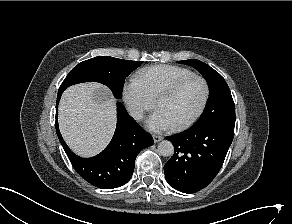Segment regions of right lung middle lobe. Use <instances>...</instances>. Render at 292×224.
Listing matches in <instances>:
<instances>
[{
	"label": "right lung middle lobe",
	"mask_w": 292,
	"mask_h": 224,
	"mask_svg": "<svg viewBox=\"0 0 292 224\" xmlns=\"http://www.w3.org/2000/svg\"><path fill=\"white\" fill-rule=\"evenodd\" d=\"M142 61H129L98 56L79 63L66 76L60 88L81 82H99L109 87L116 99L122 97L125 78L141 65Z\"/></svg>",
	"instance_id": "dd1d6c3e"
}]
</instances>
